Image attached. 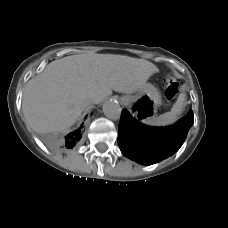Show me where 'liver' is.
Masks as SVG:
<instances>
[{
  "mask_svg": "<svg viewBox=\"0 0 228 228\" xmlns=\"http://www.w3.org/2000/svg\"><path fill=\"white\" fill-rule=\"evenodd\" d=\"M157 71L150 61L123 55L79 54L55 60L25 87V122L37 133L65 130L83 112V100L99 104L112 90L136 92Z\"/></svg>",
  "mask_w": 228,
  "mask_h": 228,
  "instance_id": "6515ba94",
  "label": "liver"
}]
</instances>
